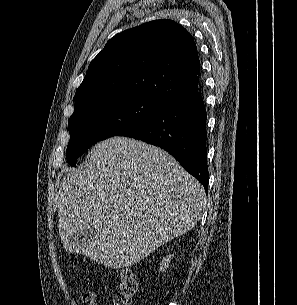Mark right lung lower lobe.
<instances>
[{"mask_svg": "<svg viewBox=\"0 0 297 305\" xmlns=\"http://www.w3.org/2000/svg\"><path fill=\"white\" fill-rule=\"evenodd\" d=\"M206 110L199 89L171 100L144 122L118 136L132 137L168 151L207 191Z\"/></svg>", "mask_w": 297, "mask_h": 305, "instance_id": "98d812e1", "label": "right lung lower lobe"}]
</instances>
